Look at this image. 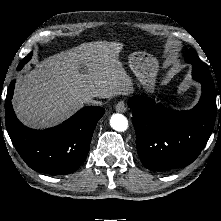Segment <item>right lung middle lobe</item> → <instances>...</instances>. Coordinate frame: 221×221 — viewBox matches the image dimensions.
<instances>
[{"label":"right lung middle lobe","mask_w":221,"mask_h":221,"mask_svg":"<svg viewBox=\"0 0 221 221\" xmlns=\"http://www.w3.org/2000/svg\"><path fill=\"white\" fill-rule=\"evenodd\" d=\"M32 57V52L29 53L23 60H21V62L19 63L17 70H20L21 68H23L24 64L27 63Z\"/></svg>","instance_id":"dd1d6c3e"}]
</instances>
